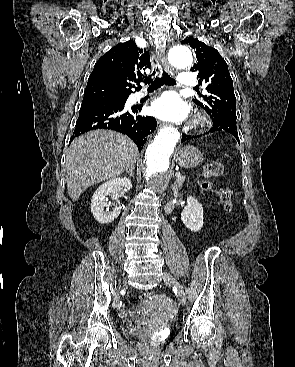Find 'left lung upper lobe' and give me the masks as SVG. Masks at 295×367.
<instances>
[{"mask_svg":"<svg viewBox=\"0 0 295 367\" xmlns=\"http://www.w3.org/2000/svg\"><path fill=\"white\" fill-rule=\"evenodd\" d=\"M195 50L196 63L191 68L198 72L199 83L207 85L208 95H199L194 102L203 108L212 121L231 118L236 121V98L228 66L219 52L197 38L188 37L181 41Z\"/></svg>","mask_w":295,"mask_h":367,"instance_id":"obj_1","label":"left lung upper lobe"}]
</instances>
